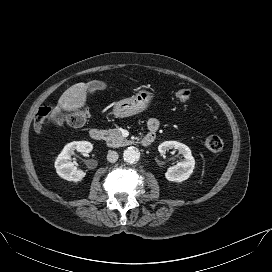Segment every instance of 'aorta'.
<instances>
[{"label":"aorta","mask_w":272,"mask_h":272,"mask_svg":"<svg viewBox=\"0 0 272 272\" xmlns=\"http://www.w3.org/2000/svg\"><path fill=\"white\" fill-rule=\"evenodd\" d=\"M123 158L126 162L134 163L139 160L140 153L139 151L134 147H128L123 152Z\"/></svg>","instance_id":"obj_1"}]
</instances>
